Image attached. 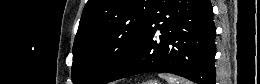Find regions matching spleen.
<instances>
[{
    "mask_svg": "<svg viewBox=\"0 0 260 84\" xmlns=\"http://www.w3.org/2000/svg\"><path fill=\"white\" fill-rule=\"evenodd\" d=\"M159 76L165 79L168 82V84H191L190 81L183 78L176 77L172 74L160 73Z\"/></svg>",
    "mask_w": 260,
    "mask_h": 84,
    "instance_id": "3e777b00",
    "label": "spleen"
}]
</instances>
